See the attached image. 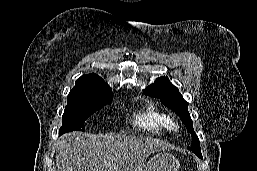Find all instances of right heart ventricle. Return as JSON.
Returning a JSON list of instances; mask_svg holds the SVG:
<instances>
[{"instance_id": "obj_1", "label": "right heart ventricle", "mask_w": 257, "mask_h": 171, "mask_svg": "<svg viewBox=\"0 0 257 171\" xmlns=\"http://www.w3.org/2000/svg\"><path fill=\"white\" fill-rule=\"evenodd\" d=\"M170 116L154 104L147 105L134 117V124L155 134H164L170 130Z\"/></svg>"}]
</instances>
